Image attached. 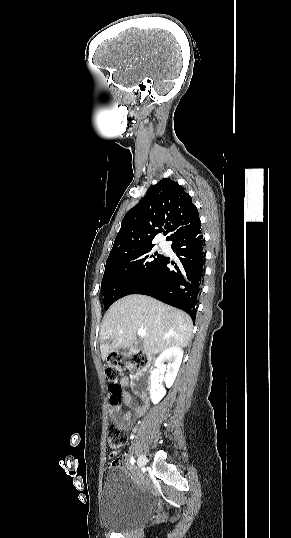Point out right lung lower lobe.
<instances>
[{
    "instance_id": "98d812e1",
    "label": "right lung lower lobe",
    "mask_w": 291,
    "mask_h": 538,
    "mask_svg": "<svg viewBox=\"0 0 291 538\" xmlns=\"http://www.w3.org/2000/svg\"><path fill=\"white\" fill-rule=\"evenodd\" d=\"M172 250L178 257L170 270L168 257L163 256L151 273L131 294L152 296L166 304L177 307L196 317L197 305L204 277V239L201 223L174 236Z\"/></svg>"
}]
</instances>
